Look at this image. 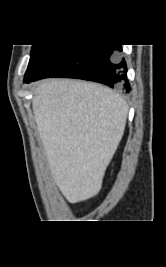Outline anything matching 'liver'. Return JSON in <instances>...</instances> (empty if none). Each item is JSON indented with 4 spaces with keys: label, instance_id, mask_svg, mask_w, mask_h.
<instances>
[{
    "label": "liver",
    "instance_id": "obj_1",
    "mask_svg": "<svg viewBox=\"0 0 166 267\" xmlns=\"http://www.w3.org/2000/svg\"><path fill=\"white\" fill-rule=\"evenodd\" d=\"M52 176L70 203L96 196L124 133L128 105L96 83L51 79L32 101Z\"/></svg>",
    "mask_w": 166,
    "mask_h": 267
}]
</instances>
